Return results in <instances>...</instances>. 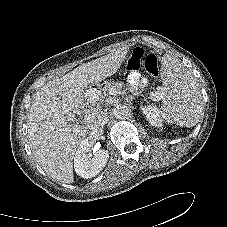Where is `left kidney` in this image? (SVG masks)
Masks as SVG:
<instances>
[{
	"label": "left kidney",
	"mask_w": 227,
	"mask_h": 227,
	"mask_svg": "<svg viewBox=\"0 0 227 227\" xmlns=\"http://www.w3.org/2000/svg\"><path fill=\"white\" fill-rule=\"evenodd\" d=\"M143 114L146 116L147 121L155 127H162V121L159 117L158 109L155 106L147 105L141 108Z\"/></svg>",
	"instance_id": "obj_1"
}]
</instances>
